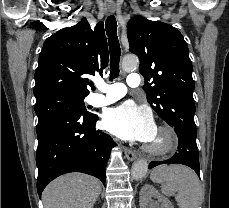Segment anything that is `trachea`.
I'll return each instance as SVG.
<instances>
[{
    "label": "trachea",
    "instance_id": "obj_1",
    "mask_svg": "<svg viewBox=\"0 0 229 208\" xmlns=\"http://www.w3.org/2000/svg\"><path fill=\"white\" fill-rule=\"evenodd\" d=\"M105 29L108 35V43H109V50H110V78L109 81L114 80L117 78L120 73V44L117 37V23L114 15H110L106 19Z\"/></svg>",
    "mask_w": 229,
    "mask_h": 208
}]
</instances>
